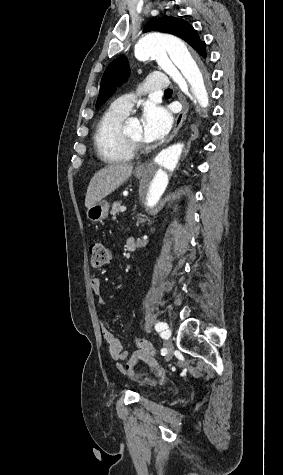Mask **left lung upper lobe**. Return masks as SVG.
<instances>
[{
  "label": "left lung upper lobe",
  "mask_w": 283,
  "mask_h": 475,
  "mask_svg": "<svg viewBox=\"0 0 283 475\" xmlns=\"http://www.w3.org/2000/svg\"><path fill=\"white\" fill-rule=\"evenodd\" d=\"M158 31L176 35L190 44L204 58L206 57L205 43L200 41L195 29L185 20L163 16L155 18L147 22L143 32ZM129 76V65L125 56H120L109 64L105 70L96 108L105 103L110 96L116 91V87L124 83Z\"/></svg>",
  "instance_id": "5c2ea615"
}]
</instances>
